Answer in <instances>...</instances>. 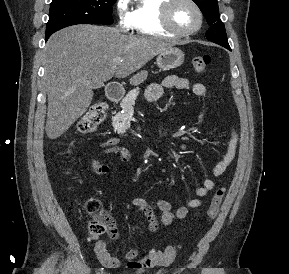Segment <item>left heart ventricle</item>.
Masks as SVG:
<instances>
[{
	"instance_id": "1",
	"label": "left heart ventricle",
	"mask_w": 289,
	"mask_h": 274,
	"mask_svg": "<svg viewBox=\"0 0 289 274\" xmlns=\"http://www.w3.org/2000/svg\"><path fill=\"white\" fill-rule=\"evenodd\" d=\"M171 19L180 30H190L197 26L198 15L193 6L185 0H179L172 9Z\"/></svg>"
}]
</instances>
